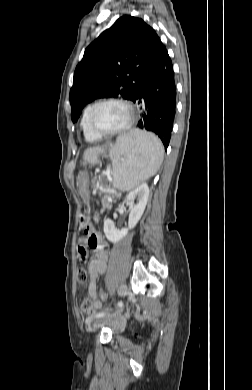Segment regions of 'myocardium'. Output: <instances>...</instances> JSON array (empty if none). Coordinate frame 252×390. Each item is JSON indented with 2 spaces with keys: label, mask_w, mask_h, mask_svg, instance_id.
<instances>
[{
  "label": "myocardium",
  "mask_w": 252,
  "mask_h": 390,
  "mask_svg": "<svg viewBox=\"0 0 252 390\" xmlns=\"http://www.w3.org/2000/svg\"><path fill=\"white\" fill-rule=\"evenodd\" d=\"M106 103L121 104L128 110L129 118H128V121L126 122L125 125H123L122 127L118 128L116 130H113V131H104L96 125V123H95L96 111L99 108V106H101L102 104H106ZM135 119H136V112H135L133 105L129 101H127L125 99H121V98H107V99L99 100L93 104L91 111H90V115H89V124H90L91 129L93 131H95L97 134H99L101 136L108 137V136L120 135V134L127 132L133 126Z\"/></svg>",
  "instance_id": "myocardium-1"
}]
</instances>
